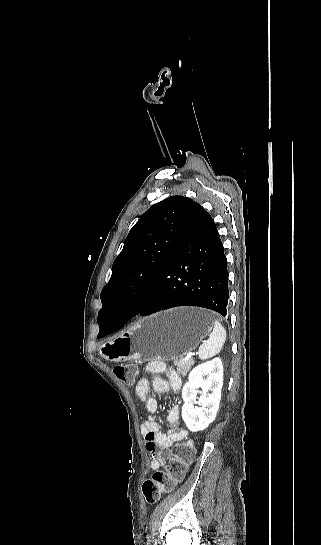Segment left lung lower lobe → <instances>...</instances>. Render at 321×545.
<instances>
[{
	"mask_svg": "<svg viewBox=\"0 0 321 545\" xmlns=\"http://www.w3.org/2000/svg\"><path fill=\"white\" fill-rule=\"evenodd\" d=\"M228 299L223 244L212 217L198 204L150 297L133 312L114 310L101 337L121 329L141 310L149 315L177 306H198L226 316Z\"/></svg>",
	"mask_w": 321,
	"mask_h": 545,
	"instance_id": "left-lung-lower-lobe-1",
	"label": "left lung lower lobe"
}]
</instances>
